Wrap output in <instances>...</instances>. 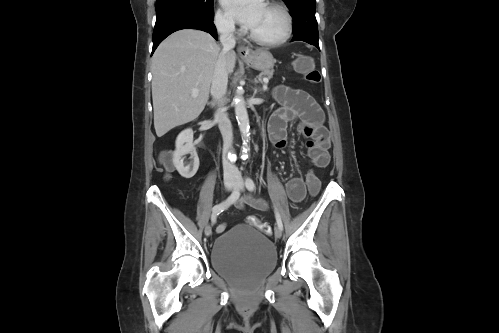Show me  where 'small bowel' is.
<instances>
[{
  "instance_id": "1",
  "label": "small bowel",
  "mask_w": 499,
  "mask_h": 333,
  "mask_svg": "<svg viewBox=\"0 0 499 333\" xmlns=\"http://www.w3.org/2000/svg\"><path fill=\"white\" fill-rule=\"evenodd\" d=\"M274 97L281 105L274 111L268 122V134L271 142L279 149L285 147L288 139V126L298 122V131L308 140L306 146L308 156L318 168H325L330 162V134L324 125V113L317 102L306 92L287 86H278L274 90ZM289 199L300 202L306 194L304 181L299 177L290 179L286 184ZM252 206L258 210H266L267 203L254 196H244L236 200L235 206L243 210L245 206ZM225 224L218 227L222 232Z\"/></svg>"
}]
</instances>
